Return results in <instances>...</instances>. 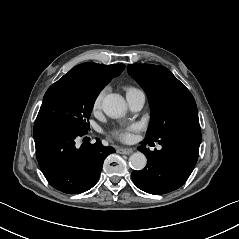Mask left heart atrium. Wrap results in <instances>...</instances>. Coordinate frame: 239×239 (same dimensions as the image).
<instances>
[{"mask_svg":"<svg viewBox=\"0 0 239 239\" xmlns=\"http://www.w3.org/2000/svg\"><path fill=\"white\" fill-rule=\"evenodd\" d=\"M141 128L139 123H131L128 125H120L116 126L111 130V134L122 140V141H130L133 137V133L138 131Z\"/></svg>","mask_w":239,"mask_h":239,"instance_id":"obj_1","label":"left heart atrium"}]
</instances>
